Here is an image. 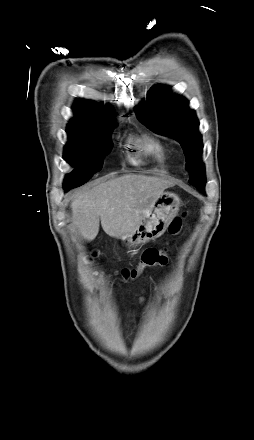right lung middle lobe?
Wrapping results in <instances>:
<instances>
[{"instance_id":"1","label":"right lung middle lobe","mask_w":254,"mask_h":440,"mask_svg":"<svg viewBox=\"0 0 254 440\" xmlns=\"http://www.w3.org/2000/svg\"><path fill=\"white\" fill-rule=\"evenodd\" d=\"M69 142L65 146L64 159L76 170L65 178V190L86 183L103 165V158L112 150V126L92 129L68 126Z\"/></svg>"}]
</instances>
